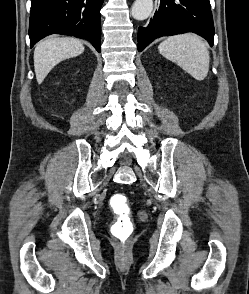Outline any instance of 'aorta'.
Here are the masks:
<instances>
[{
    "label": "aorta",
    "mask_w": 249,
    "mask_h": 294,
    "mask_svg": "<svg viewBox=\"0 0 249 294\" xmlns=\"http://www.w3.org/2000/svg\"><path fill=\"white\" fill-rule=\"evenodd\" d=\"M153 11V0H136L132 5L131 15L134 19L142 21L147 19Z\"/></svg>",
    "instance_id": "1"
}]
</instances>
